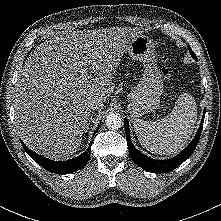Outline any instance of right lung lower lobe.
Returning <instances> with one entry per match:
<instances>
[{
    "label": "right lung lower lobe",
    "mask_w": 221,
    "mask_h": 221,
    "mask_svg": "<svg viewBox=\"0 0 221 221\" xmlns=\"http://www.w3.org/2000/svg\"><path fill=\"white\" fill-rule=\"evenodd\" d=\"M98 130V129H97ZM97 130L95 132H97ZM22 145L28 155L35 160L38 164H40L46 170L56 173V174H67L77 171L84 167L87 161L90 158L91 149L88 148L86 152L82 153L76 158L67 160V161H53L44 156H41L32 150H30L25 144L22 142Z\"/></svg>",
    "instance_id": "obj_1"
}]
</instances>
